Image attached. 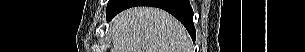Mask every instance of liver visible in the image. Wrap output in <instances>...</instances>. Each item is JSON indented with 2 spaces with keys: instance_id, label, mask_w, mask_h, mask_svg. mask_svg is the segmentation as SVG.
Wrapping results in <instances>:
<instances>
[{
  "instance_id": "liver-1",
  "label": "liver",
  "mask_w": 305,
  "mask_h": 52,
  "mask_svg": "<svg viewBox=\"0 0 305 52\" xmlns=\"http://www.w3.org/2000/svg\"><path fill=\"white\" fill-rule=\"evenodd\" d=\"M111 52H191L184 26L166 11L134 7L111 22Z\"/></svg>"
}]
</instances>
